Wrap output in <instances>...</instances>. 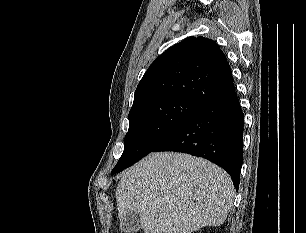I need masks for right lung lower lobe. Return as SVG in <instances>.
Masks as SVG:
<instances>
[{
	"mask_svg": "<svg viewBox=\"0 0 306 233\" xmlns=\"http://www.w3.org/2000/svg\"><path fill=\"white\" fill-rule=\"evenodd\" d=\"M243 127L244 114L234 88L202 105L153 152L175 151L206 158L225 169L238 190Z\"/></svg>",
	"mask_w": 306,
	"mask_h": 233,
	"instance_id": "obj_1",
	"label": "right lung lower lobe"
}]
</instances>
